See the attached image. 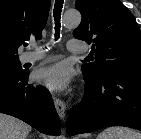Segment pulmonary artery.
<instances>
[{"instance_id":"obj_1","label":"pulmonary artery","mask_w":141,"mask_h":139,"mask_svg":"<svg viewBox=\"0 0 141 139\" xmlns=\"http://www.w3.org/2000/svg\"><path fill=\"white\" fill-rule=\"evenodd\" d=\"M68 49L71 52L83 53L88 50V47L78 41L71 40L68 43ZM46 58V55L40 51L28 52L22 56L24 62H36Z\"/></svg>"}]
</instances>
